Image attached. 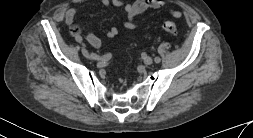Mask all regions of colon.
Here are the masks:
<instances>
[{
	"label": "colon",
	"instance_id": "1",
	"mask_svg": "<svg viewBox=\"0 0 253 138\" xmlns=\"http://www.w3.org/2000/svg\"><path fill=\"white\" fill-rule=\"evenodd\" d=\"M162 29L171 35L177 34L178 28L177 25L172 22V21H163L162 22ZM79 32V27L78 26H73L72 28V33L77 34Z\"/></svg>",
	"mask_w": 253,
	"mask_h": 138
}]
</instances>
